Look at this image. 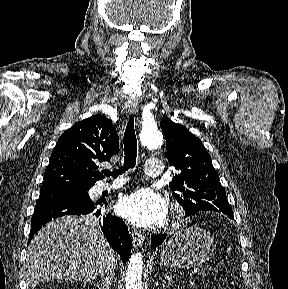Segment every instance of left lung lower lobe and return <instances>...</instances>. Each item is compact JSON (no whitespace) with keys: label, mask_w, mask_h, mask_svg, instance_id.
<instances>
[{"label":"left lung lower lobe","mask_w":288,"mask_h":289,"mask_svg":"<svg viewBox=\"0 0 288 289\" xmlns=\"http://www.w3.org/2000/svg\"><path fill=\"white\" fill-rule=\"evenodd\" d=\"M166 238V235L161 234V235H155L151 238V246L153 249H156L161 243L164 241Z\"/></svg>","instance_id":"left-lung-lower-lobe-1"}]
</instances>
